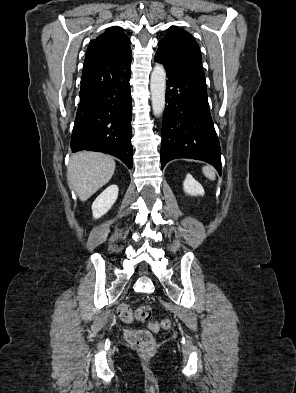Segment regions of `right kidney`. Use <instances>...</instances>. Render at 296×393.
Masks as SVG:
<instances>
[{
  "label": "right kidney",
  "mask_w": 296,
  "mask_h": 393,
  "mask_svg": "<svg viewBox=\"0 0 296 393\" xmlns=\"http://www.w3.org/2000/svg\"><path fill=\"white\" fill-rule=\"evenodd\" d=\"M118 191L117 185H110L95 199L92 204V213L95 219L102 217L111 209L117 200Z\"/></svg>",
  "instance_id": "right-kidney-1"
}]
</instances>
